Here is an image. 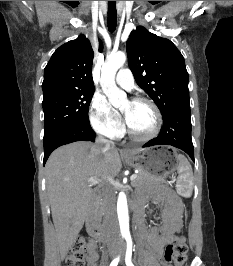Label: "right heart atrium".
<instances>
[{"label":"right heart atrium","instance_id":"right-heart-atrium-1","mask_svg":"<svg viewBox=\"0 0 233 266\" xmlns=\"http://www.w3.org/2000/svg\"><path fill=\"white\" fill-rule=\"evenodd\" d=\"M88 116L92 128L98 134L108 138H118L122 135L121 117L104 95L100 93L93 95Z\"/></svg>","mask_w":233,"mask_h":266}]
</instances>
